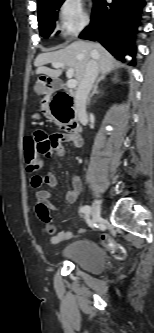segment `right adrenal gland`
I'll list each match as a JSON object with an SVG mask.
<instances>
[{
  "label": "right adrenal gland",
  "instance_id": "right-adrenal-gland-1",
  "mask_svg": "<svg viewBox=\"0 0 154 333\" xmlns=\"http://www.w3.org/2000/svg\"><path fill=\"white\" fill-rule=\"evenodd\" d=\"M104 79H105V76H104V75H101V76L96 80V83H95V85H94V87H93V90H92L91 94H90L89 97H88L87 103L90 102V100H91V98L93 97L94 94H98V93H99V91H98V84H99L102 80H104Z\"/></svg>",
  "mask_w": 154,
  "mask_h": 333
}]
</instances>
